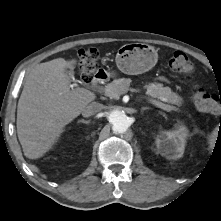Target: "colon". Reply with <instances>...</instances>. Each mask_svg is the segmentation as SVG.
Returning <instances> with one entry per match:
<instances>
[{
  "instance_id": "5ec220e1",
  "label": "colon",
  "mask_w": 221,
  "mask_h": 221,
  "mask_svg": "<svg viewBox=\"0 0 221 221\" xmlns=\"http://www.w3.org/2000/svg\"><path fill=\"white\" fill-rule=\"evenodd\" d=\"M99 52L94 48L82 49L79 52V78L82 82H89L98 71ZM171 71L181 75H191L194 64L183 52H175L168 61ZM195 107L205 113H214L221 105V96L197 88L193 94Z\"/></svg>"
}]
</instances>
